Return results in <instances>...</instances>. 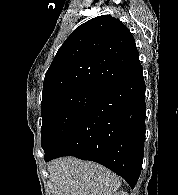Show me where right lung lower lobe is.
I'll use <instances>...</instances> for the list:
<instances>
[{"mask_svg": "<svg viewBox=\"0 0 178 195\" xmlns=\"http://www.w3.org/2000/svg\"><path fill=\"white\" fill-rule=\"evenodd\" d=\"M142 70L101 89L91 107L45 161L62 156L91 160L122 176L133 189L141 173L145 140Z\"/></svg>", "mask_w": 178, "mask_h": 195, "instance_id": "right-lung-lower-lobe-1", "label": "right lung lower lobe"}]
</instances>
